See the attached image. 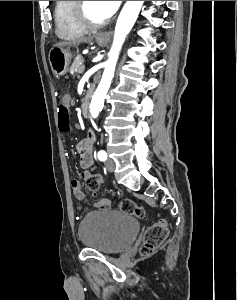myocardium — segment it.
I'll list each match as a JSON object with an SVG mask.
<instances>
[{
    "mask_svg": "<svg viewBox=\"0 0 237 300\" xmlns=\"http://www.w3.org/2000/svg\"><path fill=\"white\" fill-rule=\"evenodd\" d=\"M73 14L77 23L86 29L101 28L110 22L109 18L103 21L92 20L86 12L85 1H74Z\"/></svg>",
    "mask_w": 237,
    "mask_h": 300,
    "instance_id": "myocardium-1",
    "label": "myocardium"
}]
</instances>
